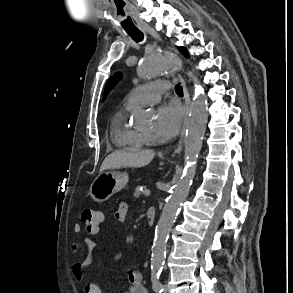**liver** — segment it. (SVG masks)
<instances>
[{"mask_svg": "<svg viewBox=\"0 0 293 293\" xmlns=\"http://www.w3.org/2000/svg\"><path fill=\"white\" fill-rule=\"evenodd\" d=\"M154 156L155 152L152 150H141L137 152L115 151L105 158L100 167V172L126 167L140 168L148 165Z\"/></svg>", "mask_w": 293, "mask_h": 293, "instance_id": "obj_1", "label": "liver"}]
</instances>
